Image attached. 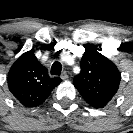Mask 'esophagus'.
<instances>
[{"mask_svg":"<svg viewBox=\"0 0 133 133\" xmlns=\"http://www.w3.org/2000/svg\"><path fill=\"white\" fill-rule=\"evenodd\" d=\"M61 79H62V80L68 79V74H67V72L64 71V72L61 74Z\"/></svg>","mask_w":133,"mask_h":133,"instance_id":"34e87169","label":"esophagus"}]
</instances>
